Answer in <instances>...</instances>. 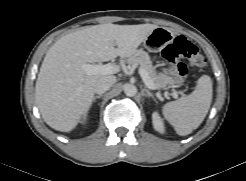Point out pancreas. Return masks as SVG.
<instances>
[{
  "label": "pancreas",
  "instance_id": "obj_1",
  "mask_svg": "<svg viewBox=\"0 0 246 181\" xmlns=\"http://www.w3.org/2000/svg\"><path fill=\"white\" fill-rule=\"evenodd\" d=\"M127 63L131 66L139 65L143 70H145L157 89L164 88L167 85H172L176 82L173 77H170L165 73L157 74L148 53L141 49L136 50L132 56L128 57Z\"/></svg>",
  "mask_w": 246,
  "mask_h": 181
}]
</instances>
